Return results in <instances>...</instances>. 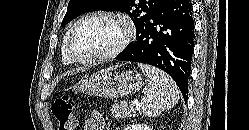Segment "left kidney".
<instances>
[{
  "label": "left kidney",
  "mask_w": 249,
  "mask_h": 130,
  "mask_svg": "<svg viewBox=\"0 0 249 130\" xmlns=\"http://www.w3.org/2000/svg\"><path fill=\"white\" fill-rule=\"evenodd\" d=\"M125 130H153V129L150 126H147L146 124H133L127 126Z\"/></svg>",
  "instance_id": "left-kidney-1"
}]
</instances>
